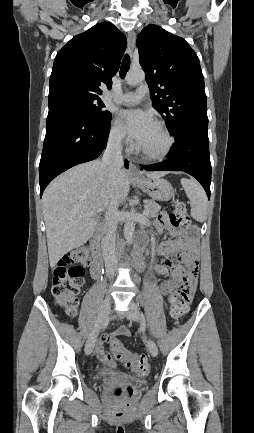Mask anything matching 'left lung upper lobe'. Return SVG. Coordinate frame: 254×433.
Instances as JSON below:
<instances>
[{
    "instance_id": "5c2ea615",
    "label": "left lung upper lobe",
    "mask_w": 254,
    "mask_h": 433,
    "mask_svg": "<svg viewBox=\"0 0 254 433\" xmlns=\"http://www.w3.org/2000/svg\"><path fill=\"white\" fill-rule=\"evenodd\" d=\"M139 62L152 106L176 136L185 128H208L207 99L200 62L189 44L157 25L138 35Z\"/></svg>"
}]
</instances>
